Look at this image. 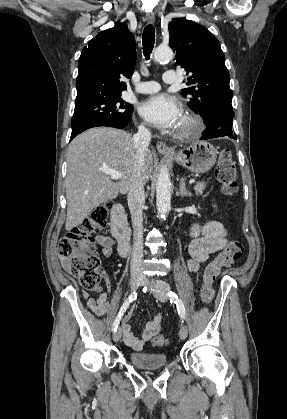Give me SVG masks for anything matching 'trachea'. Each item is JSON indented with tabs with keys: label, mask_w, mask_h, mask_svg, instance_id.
<instances>
[{
	"label": "trachea",
	"mask_w": 287,
	"mask_h": 419,
	"mask_svg": "<svg viewBox=\"0 0 287 419\" xmlns=\"http://www.w3.org/2000/svg\"><path fill=\"white\" fill-rule=\"evenodd\" d=\"M142 42L143 53L145 58L148 60L155 43V29L151 24L144 28Z\"/></svg>",
	"instance_id": "obj_1"
}]
</instances>
